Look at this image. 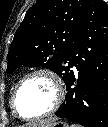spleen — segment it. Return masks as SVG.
<instances>
[{
  "instance_id": "spleen-1",
  "label": "spleen",
  "mask_w": 108,
  "mask_h": 127,
  "mask_svg": "<svg viewBox=\"0 0 108 127\" xmlns=\"http://www.w3.org/2000/svg\"><path fill=\"white\" fill-rule=\"evenodd\" d=\"M70 127H83V126H81V125H79V124H71Z\"/></svg>"
}]
</instances>
